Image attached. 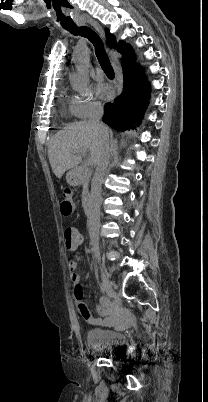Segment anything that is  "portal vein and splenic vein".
I'll return each instance as SVG.
<instances>
[{"label":"portal vein and splenic vein","mask_w":208,"mask_h":402,"mask_svg":"<svg viewBox=\"0 0 208 402\" xmlns=\"http://www.w3.org/2000/svg\"><path fill=\"white\" fill-rule=\"evenodd\" d=\"M87 150H83V152H81L80 156L78 153L74 154L75 160H78V162H81L82 158H84V160H86L85 162V166H91V164H94V160H92V158H87L85 157Z\"/></svg>","instance_id":"obj_1"}]
</instances>
